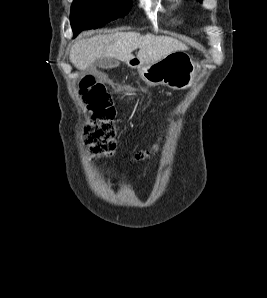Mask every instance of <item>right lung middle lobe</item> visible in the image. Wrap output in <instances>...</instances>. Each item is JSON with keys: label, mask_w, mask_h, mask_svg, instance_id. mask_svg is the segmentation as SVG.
I'll list each match as a JSON object with an SVG mask.
<instances>
[{"label": "right lung middle lobe", "mask_w": 267, "mask_h": 298, "mask_svg": "<svg viewBox=\"0 0 267 298\" xmlns=\"http://www.w3.org/2000/svg\"><path fill=\"white\" fill-rule=\"evenodd\" d=\"M131 4V0H74L70 14L74 34L102 27L114 19L125 16Z\"/></svg>", "instance_id": "obj_1"}]
</instances>
